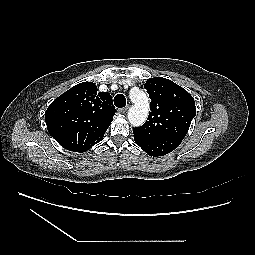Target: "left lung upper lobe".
Masks as SVG:
<instances>
[{
  "label": "left lung upper lobe",
  "instance_id": "1",
  "mask_svg": "<svg viewBox=\"0 0 255 255\" xmlns=\"http://www.w3.org/2000/svg\"><path fill=\"white\" fill-rule=\"evenodd\" d=\"M151 99L147 121L133 128L142 138L171 137L183 140L196 115L194 98L169 79L154 77L144 85Z\"/></svg>",
  "mask_w": 255,
  "mask_h": 255
}]
</instances>
